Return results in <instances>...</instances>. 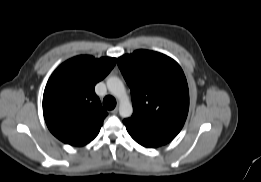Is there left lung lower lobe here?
<instances>
[{
    "instance_id": "1",
    "label": "left lung lower lobe",
    "mask_w": 261,
    "mask_h": 182,
    "mask_svg": "<svg viewBox=\"0 0 261 182\" xmlns=\"http://www.w3.org/2000/svg\"><path fill=\"white\" fill-rule=\"evenodd\" d=\"M135 141H137L139 144H141V145H143L145 147L155 148V147L160 146V145H156V144H153V143L142 142V141H139V140H135Z\"/></svg>"
}]
</instances>
